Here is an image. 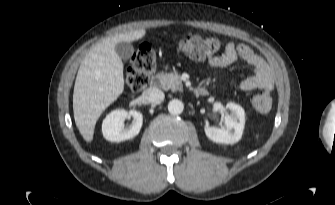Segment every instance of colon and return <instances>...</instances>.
Listing matches in <instances>:
<instances>
[{
	"mask_svg": "<svg viewBox=\"0 0 335 205\" xmlns=\"http://www.w3.org/2000/svg\"><path fill=\"white\" fill-rule=\"evenodd\" d=\"M183 51L190 57L198 60L211 58L221 48V42L215 38L189 36L181 41ZM156 66V55L148 44L141 45L131 58V67L127 73L126 81L133 91L143 90L150 81L151 74ZM271 96L261 92L254 97V105L261 111L271 106Z\"/></svg>",
	"mask_w": 335,
	"mask_h": 205,
	"instance_id": "colon-1",
	"label": "colon"
}]
</instances>
